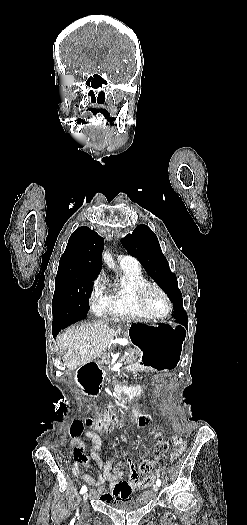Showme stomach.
Listing matches in <instances>:
<instances>
[{"label": "stomach", "mask_w": 247, "mask_h": 525, "mask_svg": "<svg viewBox=\"0 0 247 525\" xmlns=\"http://www.w3.org/2000/svg\"><path fill=\"white\" fill-rule=\"evenodd\" d=\"M128 336L141 351L138 361L142 369L167 372L178 367L186 342V331L182 326L133 323Z\"/></svg>", "instance_id": "stomach-1"}]
</instances>
